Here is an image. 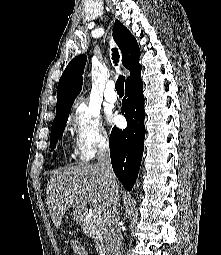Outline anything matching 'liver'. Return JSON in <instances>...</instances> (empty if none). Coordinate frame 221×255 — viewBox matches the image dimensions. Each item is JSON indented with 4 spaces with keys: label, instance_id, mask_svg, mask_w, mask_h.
<instances>
[{
    "label": "liver",
    "instance_id": "6515ba94",
    "mask_svg": "<svg viewBox=\"0 0 221 255\" xmlns=\"http://www.w3.org/2000/svg\"><path fill=\"white\" fill-rule=\"evenodd\" d=\"M112 187L118 183L107 182L98 164L81 163L58 169L50 177L46 201L54 226L59 229L69 208L86 211L87 204L97 200L105 209L111 199Z\"/></svg>",
    "mask_w": 221,
    "mask_h": 255
}]
</instances>
